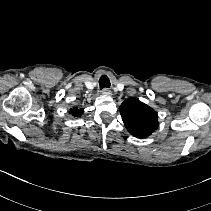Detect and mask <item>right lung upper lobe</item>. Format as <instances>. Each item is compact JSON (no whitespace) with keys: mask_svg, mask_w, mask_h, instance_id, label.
<instances>
[{"mask_svg":"<svg viewBox=\"0 0 211 211\" xmlns=\"http://www.w3.org/2000/svg\"><path fill=\"white\" fill-rule=\"evenodd\" d=\"M83 113V110H78L76 107L71 109V114L75 117L80 116Z\"/></svg>","mask_w":211,"mask_h":211,"instance_id":"1","label":"right lung upper lobe"}]
</instances>
